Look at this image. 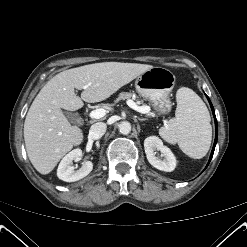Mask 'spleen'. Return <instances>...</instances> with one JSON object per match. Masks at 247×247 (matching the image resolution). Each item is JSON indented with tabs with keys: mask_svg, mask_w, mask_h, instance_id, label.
Returning <instances> with one entry per match:
<instances>
[{
	"mask_svg": "<svg viewBox=\"0 0 247 247\" xmlns=\"http://www.w3.org/2000/svg\"><path fill=\"white\" fill-rule=\"evenodd\" d=\"M175 118L159 131L171 144H178L189 157H204L211 145L212 127L210 114L202 99L190 88L181 87L176 93Z\"/></svg>",
	"mask_w": 247,
	"mask_h": 247,
	"instance_id": "1",
	"label": "spleen"
}]
</instances>
